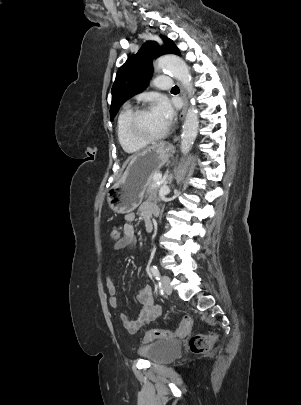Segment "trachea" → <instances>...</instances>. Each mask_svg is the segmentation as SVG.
Wrapping results in <instances>:
<instances>
[{"label":"trachea","instance_id":"trachea-1","mask_svg":"<svg viewBox=\"0 0 301 405\" xmlns=\"http://www.w3.org/2000/svg\"><path fill=\"white\" fill-rule=\"evenodd\" d=\"M172 90H179V87H178V86H174V87L172 88Z\"/></svg>","mask_w":301,"mask_h":405}]
</instances>
